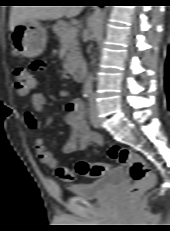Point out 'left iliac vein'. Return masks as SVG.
<instances>
[{"instance_id": "4c4485c4", "label": "left iliac vein", "mask_w": 170, "mask_h": 231, "mask_svg": "<svg viewBox=\"0 0 170 231\" xmlns=\"http://www.w3.org/2000/svg\"><path fill=\"white\" fill-rule=\"evenodd\" d=\"M89 119L91 124L98 128L100 125L99 118H98V108L94 101V97L90 98V107H89Z\"/></svg>"}]
</instances>
